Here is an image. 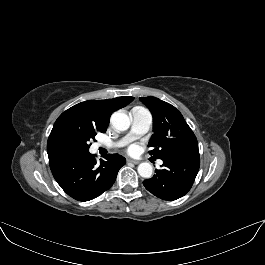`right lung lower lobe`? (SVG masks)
<instances>
[{
    "label": "right lung lower lobe",
    "mask_w": 265,
    "mask_h": 265,
    "mask_svg": "<svg viewBox=\"0 0 265 265\" xmlns=\"http://www.w3.org/2000/svg\"><path fill=\"white\" fill-rule=\"evenodd\" d=\"M49 164L55 180L69 196L89 201L113 185L125 159L118 154H108L97 163L92 154L86 153L64 156Z\"/></svg>",
    "instance_id": "1"
}]
</instances>
